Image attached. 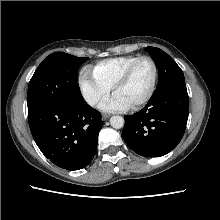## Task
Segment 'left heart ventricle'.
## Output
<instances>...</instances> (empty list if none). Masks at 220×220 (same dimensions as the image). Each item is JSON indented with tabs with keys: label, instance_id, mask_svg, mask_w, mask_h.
<instances>
[{
	"label": "left heart ventricle",
	"instance_id": "b2bd125f",
	"mask_svg": "<svg viewBox=\"0 0 220 220\" xmlns=\"http://www.w3.org/2000/svg\"><path fill=\"white\" fill-rule=\"evenodd\" d=\"M153 66L148 60H143L135 67L129 80L116 90L130 106L142 100L150 90L153 80Z\"/></svg>",
	"mask_w": 220,
	"mask_h": 220
}]
</instances>
